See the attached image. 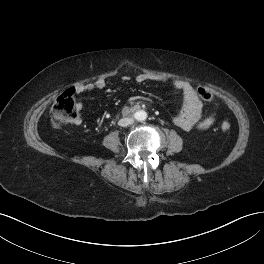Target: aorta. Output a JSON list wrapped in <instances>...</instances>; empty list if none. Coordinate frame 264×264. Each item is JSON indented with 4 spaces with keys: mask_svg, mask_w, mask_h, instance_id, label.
<instances>
[{
    "mask_svg": "<svg viewBox=\"0 0 264 264\" xmlns=\"http://www.w3.org/2000/svg\"><path fill=\"white\" fill-rule=\"evenodd\" d=\"M135 119L137 121H145L147 119V113L144 110L137 111L135 113Z\"/></svg>",
    "mask_w": 264,
    "mask_h": 264,
    "instance_id": "obj_1",
    "label": "aorta"
}]
</instances>
